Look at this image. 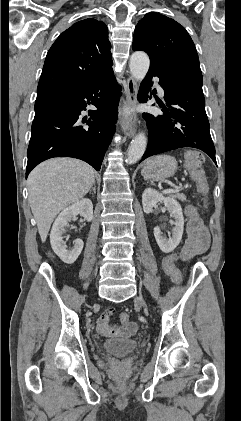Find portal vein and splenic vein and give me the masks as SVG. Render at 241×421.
<instances>
[{
    "label": "portal vein and splenic vein",
    "instance_id": "18ae733b",
    "mask_svg": "<svg viewBox=\"0 0 241 421\" xmlns=\"http://www.w3.org/2000/svg\"><path fill=\"white\" fill-rule=\"evenodd\" d=\"M163 192L164 193H175V192H179V188H176V189H166Z\"/></svg>",
    "mask_w": 241,
    "mask_h": 421
}]
</instances>
